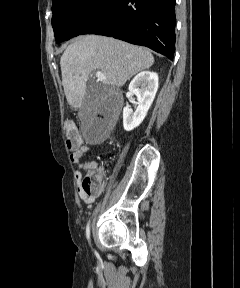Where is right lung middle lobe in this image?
Instances as JSON below:
<instances>
[{"label": "right lung middle lobe", "mask_w": 240, "mask_h": 288, "mask_svg": "<svg viewBox=\"0 0 240 288\" xmlns=\"http://www.w3.org/2000/svg\"><path fill=\"white\" fill-rule=\"evenodd\" d=\"M112 0H53L52 27L56 42L69 40L94 21Z\"/></svg>", "instance_id": "1"}]
</instances>
